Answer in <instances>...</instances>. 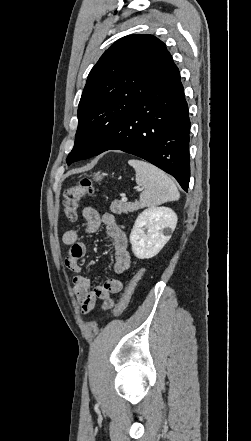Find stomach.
<instances>
[{
	"instance_id": "0dacf381",
	"label": "stomach",
	"mask_w": 251,
	"mask_h": 441,
	"mask_svg": "<svg viewBox=\"0 0 251 441\" xmlns=\"http://www.w3.org/2000/svg\"><path fill=\"white\" fill-rule=\"evenodd\" d=\"M103 176H104V174L96 173V174H94L93 179L95 181H101L103 179Z\"/></svg>"
}]
</instances>
